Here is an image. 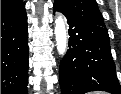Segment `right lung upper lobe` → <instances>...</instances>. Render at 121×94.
<instances>
[{
    "label": "right lung upper lobe",
    "instance_id": "right-lung-upper-lobe-1",
    "mask_svg": "<svg viewBox=\"0 0 121 94\" xmlns=\"http://www.w3.org/2000/svg\"><path fill=\"white\" fill-rule=\"evenodd\" d=\"M21 0H1V11L6 10L10 7H13L17 3H19Z\"/></svg>",
    "mask_w": 121,
    "mask_h": 94
}]
</instances>
